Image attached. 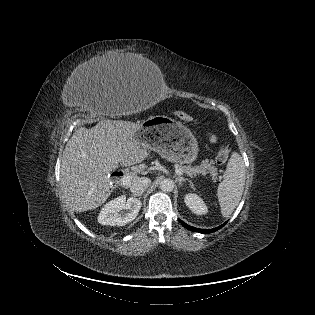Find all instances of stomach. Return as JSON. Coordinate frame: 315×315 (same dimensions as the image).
<instances>
[{
    "label": "stomach",
    "instance_id": "obj_1",
    "mask_svg": "<svg viewBox=\"0 0 315 315\" xmlns=\"http://www.w3.org/2000/svg\"><path fill=\"white\" fill-rule=\"evenodd\" d=\"M136 138L148 149L174 163L190 164L198 155V142L190 129L164 115L150 116L141 122Z\"/></svg>",
    "mask_w": 315,
    "mask_h": 315
}]
</instances>
